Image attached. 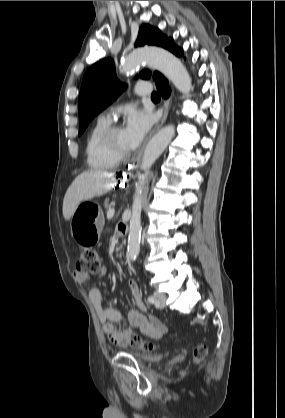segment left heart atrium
I'll list each match as a JSON object with an SVG mask.
<instances>
[{
    "mask_svg": "<svg viewBox=\"0 0 285 418\" xmlns=\"http://www.w3.org/2000/svg\"><path fill=\"white\" fill-rule=\"evenodd\" d=\"M152 116L148 111L133 108L126 117L124 130L128 136L130 146L140 144L152 126Z\"/></svg>",
    "mask_w": 285,
    "mask_h": 418,
    "instance_id": "left-heart-atrium-1",
    "label": "left heart atrium"
}]
</instances>
